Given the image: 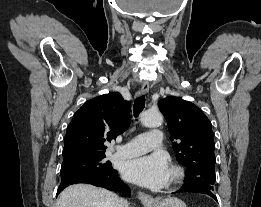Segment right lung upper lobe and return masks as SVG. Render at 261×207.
Masks as SVG:
<instances>
[{
  "instance_id": "obj_1",
  "label": "right lung upper lobe",
  "mask_w": 261,
  "mask_h": 207,
  "mask_svg": "<svg viewBox=\"0 0 261 207\" xmlns=\"http://www.w3.org/2000/svg\"><path fill=\"white\" fill-rule=\"evenodd\" d=\"M130 110V102L116 92L86 101L67 128L63 161L105 154L104 142L115 139L129 127Z\"/></svg>"
}]
</instances>
